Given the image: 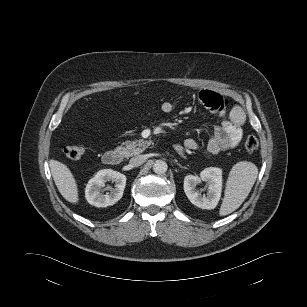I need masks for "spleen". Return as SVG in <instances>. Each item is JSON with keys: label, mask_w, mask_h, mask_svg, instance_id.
Instances as JSON below:
<instances>
[{"label": "spleen", "mask_w": 307, "mask_h": 307, "mask_svg": "<svg viewBox=\"0 0 307 307\" xmlns=\"http://www.w3.org/2000/svg\"><path fill=\"white\" fill-rule=\"evenodd\" d=\"M257 175L258 168L251 162L240 161L232 167L219 210L220 216H226L240 207L249 195Z\"/></svg>", "instance_id": "spleen-1"}]
</instances>
